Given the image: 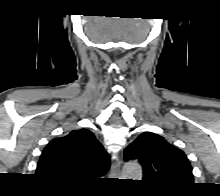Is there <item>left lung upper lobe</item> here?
<instances>
[{
    "label": "left lung upper lobe",
    "mask_w": 220,
    "mask_h": 196,
    "mask_svg": "<svg viewBox=\"0 0 220 196\" xmlns=\"http://www.w3.org/2000/svg\"><path fill=\"white\" fill-rule=\"evenodd\" d=\"M124 159H137L143 167L144 182L158 192L178 193L193 184L184 152L155 133H142L124 150Z\"/></svg>",
    "instance_id": "obj_1"
}]
</instances>
